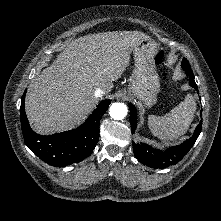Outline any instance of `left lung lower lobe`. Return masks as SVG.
Segmentation results:
<instances>
[{"label":"left lung lower lobe","instance_id":"1","mask_svg":"<svg viewBox=\"0 0 221 221\" xmlns=\"http://www.w3.org/2000/svg\"><path fill=\"white\" fill-rule=\"evenodd\" d=\"M185 73L189 76L190 82L189 84L198 90L197 85L194 80V75L191 69H184ZM130 107V122L132 126V133L135 132L137 126V111L134 105L129 104ZM202 129V121L196 127V130L191 138L186 140L180 145L172 146L168 148L167 151L163 152L158 149H154L151 146L144 143H132L134 148V155L137 159L152 168L163 169L178 163L192 148L194 143L196 142L200 132Z\"/></svg>","mask_w":221,"mask_h":221}]
</instances>
